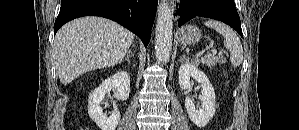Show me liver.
Segmentation results:
<instances>
[{"label":"liver","mask_w":299,"mask_h":130,"mask_svg":"<svg viewBox=\"0 0 299 130\" xmlns=\"http://www.w3.org/2000/svg\"><path fill=\"white\" fill-rule=\"evenodd\" d=\"M134 34L101 17H83L64 25L56 34L53 58L63 85L91 70L120 63Z\"/></svg>","instance_id":"1"}]
</instances>
